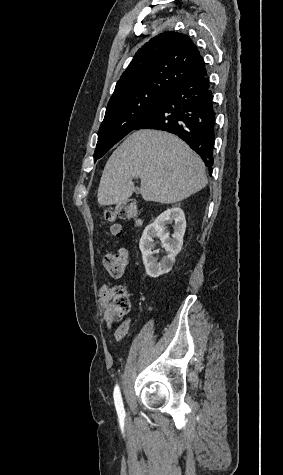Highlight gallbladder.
Wrapping results in <instances>:
<instances>
[{"mask_svg": "<svg viewBox=\"0 0 283 475\" xmlns=\"http://www.w3.org/2000/svg\"><path fill=\"white\" fill-rule=\"evenodd\" d=\"M135 192L136 194H139V188H136Z\"/></svg>", "mask_w": 283, "mask_h": 475, "instance_id": "gallbladder-1", "label": "gallbladder"}]
</instances>
